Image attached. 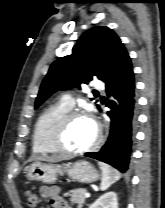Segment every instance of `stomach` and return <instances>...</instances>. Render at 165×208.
<instances>
[{
	"mask_svg": "<svg viewBox=\"0 0 165 208\" xmlns=\"http://www.w3.org/2000/svg\"><path fill=\"white\" fill-rule=\"evenodd\" d=\"M62 173H66L70 178L80 183H93L100 177L95 167L84 160L63 165L36 161L26 169V176L29 180L47 184L55 183L58 175Z\"/></svg>",
	"mask_w": 165,
	"mask_h": 208,
	"instance_id": "stomach-1",
	"label": "stomach"
}]
</instances>
